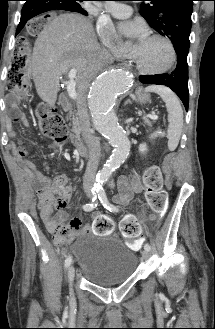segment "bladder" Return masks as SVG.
I'll use <instances>...</instances> for the list:
<instances>
[{
  "mask_svg": "<svg viewBox=\"0 0 215 329\" xmlns=\"http://www.w3.org/2000/svg\"><path fill=\"white\" fill-rule=\"evenodd\" d=\"M78 275L95 285H113L129 280L137 268V256L120 239L88 234L75 244Z\"/></svg>",
  "mask_w": 215,
  "mask_h": 329,
  "instance_id": "obj_1",
  "label": "bladder"
}]
</instances>
